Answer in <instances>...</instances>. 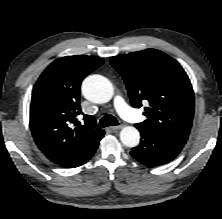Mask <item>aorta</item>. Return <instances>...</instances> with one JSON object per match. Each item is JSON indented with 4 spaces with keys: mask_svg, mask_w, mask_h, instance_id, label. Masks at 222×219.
Returning a JSON list of instances; mask_svg holds the SVG:
<instances>
[{
    "mask_svg": "<svg viewBox=\"0 0 222 219\" xmlns=\"http://www.w3.org/2000/svg\"><path fill=\"white\" fill-rule=\"evenodd\" d=\"M112 83L101 75H90L82 84V94L86 99L94 103H106L113 96ZM120 140L127 147H135L139 144L140 133L133 126L124 127L120 131Z\"/></svg>",
    "mask_w": 222,
    "mask_h": 219,
    "instance_id": "1",
    "label": "aorta"
}]
</instances>
